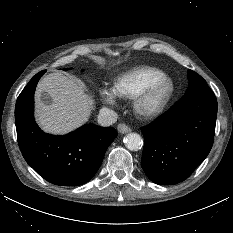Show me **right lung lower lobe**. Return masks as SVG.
<instances>
[{"mask_svg":"<svg viewBox=\"0 0 233 233\" xmlns=\"http://www.w3.org/2000/svg\"><path fill=\"white\" fill-rule=\"evenodd\" d=\"M44 71L37 73L19 95L15 106L18 144L26 162L45 180L60 186L88 182L99 169L117 136L114 128L85 124L64 136L44 133L34 120V92Z\"/></svg>","mask_w":233,"mask_h":233,"instance_id":"1","label":"right lung lower lobe"}]
</instances>
